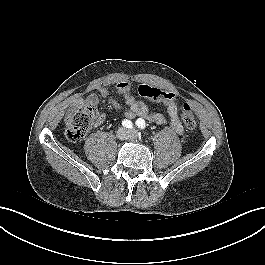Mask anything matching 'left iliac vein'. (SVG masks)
<instances>
[{"mask_svg": "<svg viewBox=\"0 0 265 265\" xmlns=\"http://www.w3.org/2000/svg\"><path fill=\"white\" fill-rule=\"evenodd\" d=\"M130 133H135V131L134 130H131Z\"/></svg>", "mask_w": 265, "mask_h": 265, "instance_id": "obj_1", "label": "left iliac vein"}]
</instances>
